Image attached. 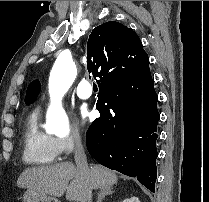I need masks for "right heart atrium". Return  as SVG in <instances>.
Here are the masks:
<instances>
[{
    "label": "right heart atrium",
    "instance_id": "obj_1",
    "mask_svg": "<svg viewBox=\"0 0 209 202\" xmlns=\"http://www.w3.org/2000/svg\"><path fill=\"white\" fill-rule=\"evenodd\" d=\"M55 143L60 154L68 156L81 147L82 137L78 131L73 130L66 136L55 138ZM71 170L74 176L80 174V171L74 167H71Z\"/></svg>",
    "mask_w": 209,
    "mask_h": 202
}]
</instances>
